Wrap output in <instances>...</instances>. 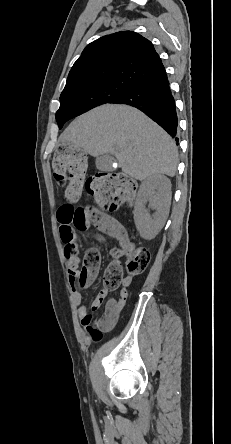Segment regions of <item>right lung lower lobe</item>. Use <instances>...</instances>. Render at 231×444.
<instances>
[{
    "label": "right lung lower lobe",
    "mask_w": 231,
    "mask_h": 444,
    "mask_svg": "<svg viewBox=\"0 0 231 444\" xmlns=\"http://www.w3.org/2000/svg\"><path fill=\"white\" fill-rule=\"evenodd\" d=\"M115 103L128 104L144 112L166 130L177 142L178 117L167 74L137 82ZM178 144V143H177Z\"/></svg>",
    "instance_id": "obj_1"
}]
</instances>
